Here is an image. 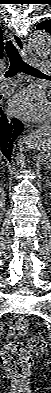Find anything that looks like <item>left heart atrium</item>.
<instances>
[{
  "label": "left heart atrium",
  "instance_id": "obj_1",
  "mask_svg": "<svg viewBox=\"0 0 51 393\" xmlns=\"http://www.w3.org/2000/svg\"><path fill=\"white\" fill-rule=\"evenodd\" d=\"M13 113L31 120H41L48 116L49 107L42 93L34 88H27L16 94L11 102Z\"/></svg>",
  "mask_w": 51,
  "mask_h": 393
}]
</instances>
